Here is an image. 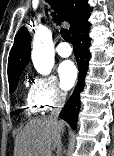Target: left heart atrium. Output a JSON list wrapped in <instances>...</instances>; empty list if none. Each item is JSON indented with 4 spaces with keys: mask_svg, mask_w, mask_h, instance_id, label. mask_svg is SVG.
<instances>
[{
    "mask_svg": "<svg viewBox=\"0 0 114 156\" xmlns=\"http://www.w3.org/2000/svg\"><path fill=\"white\" fill-rule=\"evenodd\" d=\"M59 77L64 89H70L77 78V68L71 61L63 62L59 67Z\"/></svg>",
    "mask_w": 114,
    "mask_h": 156,
    "instance_id": "obj_1",
    "label": "left heart atrium"
}]
</instances>
